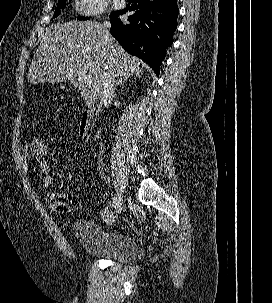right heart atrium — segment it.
I'll list each match as a JSON object with an SVG mask.
<instances>
[{"mask_svg": "<svg viewBox=\"0 0 272 303\" xmlns=\"http://www.w3.org/2000/svg\"><path fill=\"white\" fill-rule=\"evenodd\" d=\"M108 1L109 0H77V6L84 15L96 16L106 10Z\"/></svg>", "mask_w": 272, "mask_h": 303, "instance_id": "d8ad5b80", "label": "right heart atrium"}]
</instances>
